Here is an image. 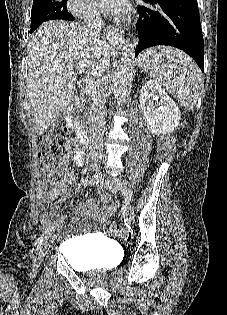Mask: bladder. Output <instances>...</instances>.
I'll return each mask as SVG.
<instances>
[{"label":"bladder","instance_id":"31cf9c89","mask_svg":"<svg viewBox=\"0 0 227 315\" xmlns=\"http://www.w3.org/2000/svg\"><path fill=\"white\" fill-rule=\"evenodd\" d=\"M75 254L69 255V263L79 270H103L117 266L120 262L118 248L107 238L84 235L67 240Z\"/></svg>","mask_w":227,"mask_h":315}]
</instances>
